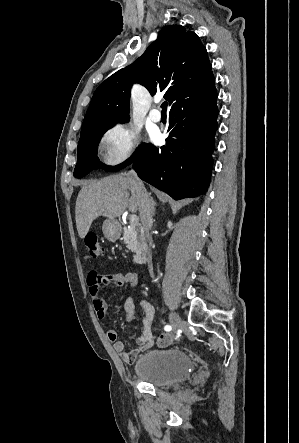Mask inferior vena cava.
<instances>
[{
	"instance_id": "1",
	"label": "inferior vena cava",
	"mask_w": 299,
	"mask_h": 443,
	"mask_svg": "<svg viewBox=\"0 0 299 443\" xmlns=\"http://www.w3.org/2000/svg\"><path fill=\"white\" fill-rule=\"evenodd\" d=\"M127 176L130 179L131 190L138 198L140 218L146 230L147 240L151 243L150 229L153 223L151 199L135 171H130Z\"/></svg>"
}]
</instances>
